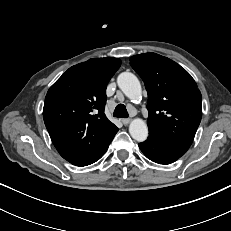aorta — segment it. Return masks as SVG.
<instances>
[{
    "mask_svg": "<svg viewBox=\"0 0 231 231\" xmlns=\"http://www.w3.org/2000/svg\"><path fill=\"white\" fill-rule=\"evenodd\" d=\"M117 84L128 98L132 100L140 98L142 92L141 84L133 73H121L117 78ZM129 133L136 141L143 142L148 137L147 124L144 120L135 118L129 125Z\"/></svg>",
    "mask_w": 231,
    "mask_h": 231,
    "instance_id": "aorta-1",
    "label": "aorta"
}]
</instances>
